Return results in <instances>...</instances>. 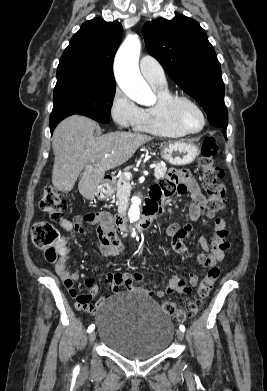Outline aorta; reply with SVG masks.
Listing matches in <instances>:
<instances>
[{
	"instance_id": "aorta-1",
	"label": "aorta",
	"mask_w": 267,
	"mask_h": 391,
	"mask_svg": "<svg viewBox=\"0 0 267 391\" xmlns=\"http://www.w3.org/2000/svg\"><path fill=\"white\" fill-rule=\"evenodd\" d=\"M141 42L136 35H128L117 51L114 63L115 75L120 89L138 104H147L153 93L139 71ZM141 199L133 197L129 210L130 222H136L140 216Z\"/></svg>"
}]
</instances>
